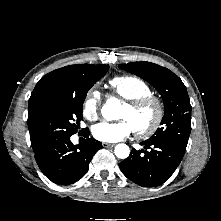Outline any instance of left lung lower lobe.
I'll return each instance as SVG.
<instances>
[{"label":"left lung lower lobe","mask_w":221,"mask_h":221,"mask_svg":"<svg viewBox=\"0 0 221 221\" xmlns=\"http://www.w3.org/2000/svg\"><path fill=\"white\" fill-rule=\"evenodd\" d=\"M145 149H133L119 166L122 173L142 187H155L170 178L180 164L185 149L168 142L146 140Z\"/></svg>","instance_id":"left-lung-lower-lobe-1"}]
</instances>
